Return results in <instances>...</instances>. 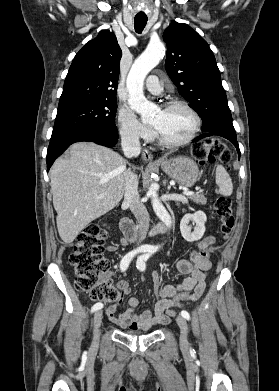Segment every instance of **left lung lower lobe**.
<instances>
[{"mask_svg":"<svg viewBox=\"0 0 279 391\" xmlns=\"http://www.w3.org/2000/svg\"><path fill=\"white\" fill-rule=\"evenodd\" d=\"M212 135H218V136H222L226 139H228L229 141H231L234 146L236 147L237 149V152L240 156V150H239V146H238V142H237V138H236V134H229V133H225V132H220V131H212V132H208V133H205V134H202L200 135L199 137H197L194 142L202 139V138H205V137H209V136H212Z\"/></svg>","mask_w":279,"mask_h":391,"instance_id":"obj_1","label":"left lung lower lobe"}]
</instances>
